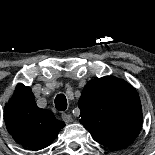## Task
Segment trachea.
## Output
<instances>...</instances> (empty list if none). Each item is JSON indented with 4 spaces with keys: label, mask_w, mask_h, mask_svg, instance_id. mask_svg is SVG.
<instances>
[{
    "label": "trachea",
    "mask_w": 155,
    "mask_h": 155,
    "mask_svg": "<svg viewBox=\"0 0 155 155\" xmlns=\"http://www.w3.org/2000/svg\"><path fill=\"white\" fill-rule=\"evenodd\" d=\"M55 107L58 111H65L67 108V99L64 94H58L55 98Z\"/></svg>",
    "instance_id": "obj_1"
}]
</instances>
